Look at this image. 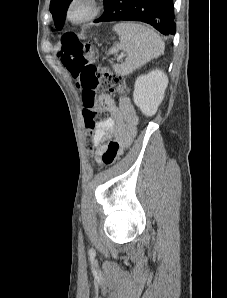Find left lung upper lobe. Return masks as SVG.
Returning a JSON list of instances; mask_svg holds the SVG:
<instances>
[{
	"instance_id": "obj_1",
	"label": "left lung upper lobe",
	"mask_w": 227,
	"mask_h": 298,
	"mask_svg": "<svg viewBox=\"0 0 227 298\" xmlns=\"http://www.w3.org/2000/svg\"><path fill=\"white\" fill-rule=\"evenodd\" d=\"M109 0H104L105 6ZM72 0H51L50 2V12L53 15L55 29L61 30L66 18V11ZM98 22V19L95 20Z\"/></svg>"
}]
</instances>
